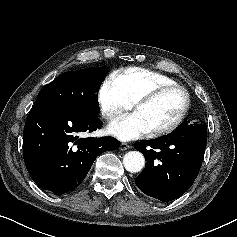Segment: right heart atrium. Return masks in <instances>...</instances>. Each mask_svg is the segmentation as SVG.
I'll use <instances>...</instances> for the list:
<instances>
[{
  "label": "right heart atrium",
  "instance_id": "d8ad5b80",
  "mask_svg": "<svg viewBox=\"0 0 237 237\" xmlns=\"http://www.w3.org/2000/svg\"><path fill=\"white\" fill-rule=\"evenodd\" d=\"M97 102L101 117L108 122L115 120L131 105L113 77H108L101 82Z\"/></svg>",
  "mask_w": 237,
  "mask_h": 237
}]
</instances>
